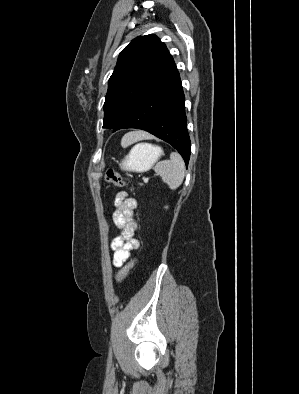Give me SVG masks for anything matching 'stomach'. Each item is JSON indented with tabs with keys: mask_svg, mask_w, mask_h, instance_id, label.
I'll use <instances>...</instances> for the list:
<instances>
[{
	"mask_svg": "<svg viewBox=\"0 0 299 394\" xmlns=\"http://www.w3.org/2000/svg\"><path fill=\"white\" fill-rule=\"evenodd\" d=\"M137 147L130 151L129 155L122 162V167L125 170L144 172L149 170L152 165L158 160L162 154L159 147L152 146L147 143L136 145Z\"/></svg>",
	"mask_w": 299,
	"mask_h": 394,
	"instance_id": "1",
	"label": "stomach"
}]
</instances>
